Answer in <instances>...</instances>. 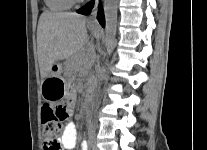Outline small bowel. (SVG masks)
Returning <instances> with one entry per match:
<instances>
[{
    "instance_id": "1",
    "label": "small bowel",
    "mask_w": 207,
    "mask_h": 150,
    "mask_svg": "<svg viewBox=\"0 0 207 150\" xmlns=\"http://www.w3.org/2000/svg\"><path fill=\"white\" fill-rule=\"evenodd\" d=\"M75 103V92L69 93V107H73ZM62 150H74L77 145L78 133L76 125L69 122L63 128L61 135L57 138ZM80 150H90V140H81Z\"/></svg>"
}]
</instances>
